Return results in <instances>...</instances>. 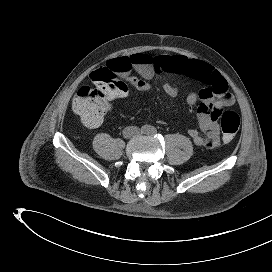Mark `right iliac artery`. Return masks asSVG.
<instances>
[{"label": "right iliac artery", "mask_w": 272, "mask_h": 272, "mask_svg": "<svg viewBox=\"0 0 272 272\" xmlns=\"http://www.w3.org/2000/svg\"><path fill=\"white\" fill-rule=\"evenodd\" d=\"M150 131V127L147 125L142 126L141 132L142 133H148Z\"/></svg>", "instance_id": "1"}]
</instances>
